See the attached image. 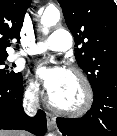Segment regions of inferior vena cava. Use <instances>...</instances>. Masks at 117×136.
Masks as SVG:
<instances>
[{
  "instance_id": "inferior-vena-cava-1",
  "label": "inferior vena cava",
  "mask_w": 117,
  "mask_h": 136,
  "mask_svg": "<svg viewBox=\"0 0 117 136\" xmlns=\"http://www.w3.org/2000/svg\"><path fill=\"white\" fill-rule=\"evenodd\" d=\"M37 102H38V97L37 94L34 92L29 102L24 103V109L28 115L33 116L36 114L38 108Z\"/></svg>"
}]
</instances>
